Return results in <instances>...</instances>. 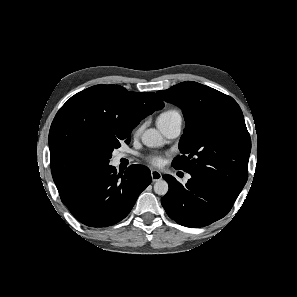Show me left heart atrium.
I'll list each match as a JSON object with an SVG mask.
<instances>
[{"label":"left heart atrium","instance_id":"1","mask_svg":"<svg viewBox=\"0 0 297 297\" xmlns=\"http://www.w3.org/2000/svg\"><path fill=\"white\" fill-rule=\"evenodd\" d=\"M164 162V158L161 155H154L150 158V163L154 166H161Z\"/></svg>","mask_w":297,"mask_h":297}]
</instances>
